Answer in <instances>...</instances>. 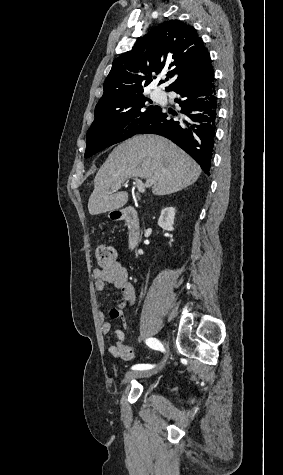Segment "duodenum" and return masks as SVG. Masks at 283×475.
<instances>
[{
    "label": "duodenum",
    "mask_w": 283,
    "mask_h": 475,
    "mask_svg": "<svg viewBox=\"0 0 283 475\" xmlns=\"http://www.w3.org/2000/svg\"><path fill=\"white\" fill-rule=\"evenodd\" d=\"M114 219L123 221L127 227V243L130 251L134 250L141 237V227L139 215L136 209L132 207L123 208L114 214Z\"/></svg>",
    "instance_id": "1"
}]
</instances>
